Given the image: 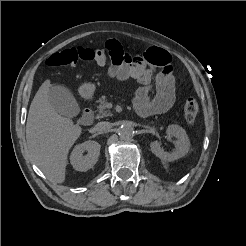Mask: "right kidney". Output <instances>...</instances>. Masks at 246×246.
I'll return each mask as SVG.
<instances>
[{"instance_id": "ca27d5eb", "label": "right kidney", "mask_w": 246, "mask_h": 246, "mask_svg": "<svg viewBox=\"0 0 246 246\" xmlns=\"http://www.w3.org/2000/svg\"><path fill=\"white\" fill-rule=\"evenodd\" d=\"M100 148V144L92 140L76 145L70 156L73 168L83 172L93 168L98 161ZM85 151H87V154L83 155Z\"/></svg>"}]
</instances>
